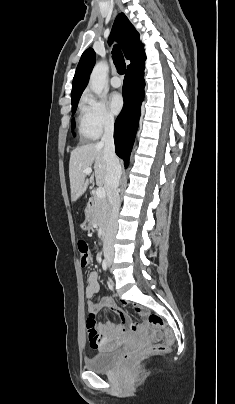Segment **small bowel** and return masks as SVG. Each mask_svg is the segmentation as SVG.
I'll list each match as a JSON object with an SVG mask.
<instances>
[{"label": "small bowel", "instance_id": "obj_1", "mask_svg": "<svg viewBox=\"0 0 235 404\" xmlns=\"http://www.w3.org/2000/svg\"><path fill=\"white\" fill-rule=\"evenodd\" d=\"M99 289L98 273L93 271L87 278L85 290L87 298L94 297L99 292ZM103 308L117 313L121 317L122 323L115 324L112 322H104L96 324L95 330L100 341L99 343L92 342V346L95 348L105 347L108 341H112L113 345H120L131 332L130 317L126 312L117 307L113 298L110 296H104L97 302L89 301L87 304L89 317L95 319L97 313Z\"/></svg>", "mask_w": 235, "mask_h": 404}]
</instances>
